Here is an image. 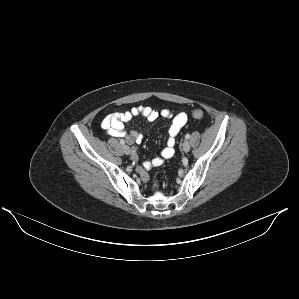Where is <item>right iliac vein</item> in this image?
<instances>
[{
  "label": "right iliac vein",
  "instance_id": "1",
  "mask_svg": "<svg viewBox=\"0 0 299 299\" xmlns=\"http://www.w3.org/2000/svg\"><path fill=\"white\" fill-rule=\"evenodd\" d=\"M122 149H123V151H124V153H125L126 155H130V154H131V150H130V148H129L127 145H124V146L122 147Z\"/></svg>",
  "mask_w": 299,
  "mask_h": 299
}]
</instances>
